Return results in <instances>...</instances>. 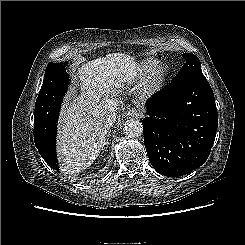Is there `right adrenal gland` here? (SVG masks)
<instances>
[{
  "instance_id": "right-adrenal-gland-1",
  "label": "right adrenal gland",
  "mask_w": 245,
  "mask_h": 245,
  "mask_svg": "<svg viewBox=\"0 0 245 245\" xmlns=\"http://www.w3.org/2000/svg\"><path fill=\"white\" fill-rule=\"evenodd\" d=\"M108 143H109V141H108V139H107L106 144H108Z\"/></svg>"
}]
</instances>
